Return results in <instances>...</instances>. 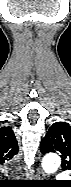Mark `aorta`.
Returning a JSON list of instances; mask_svg holds the SVG:
<instances>
[{
  "label": "aorta",
  "instance_id": "1",
  "mask_svg": "<svg viewBox=\"0 0 71 187\" xmlns=\"http://www.w3.org/2000/svg\"><path fill=\"white\" fill-rule=\"evenodd\" d=\"M60 164L61 159L55 153H49L42 159V168L48 174L56 172L60 167Z\"/></svg>",
  "mask_w": 71,
  "mask_h": 187
}]
</instances>
